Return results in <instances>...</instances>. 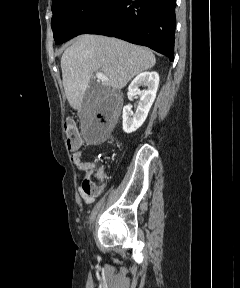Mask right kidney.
<instances>
[{
  "mask_svg": "<svg viewBox=\"0 0 240 288\" xmlns=\"http://www.w3.org/2000/svg\"><path fill=\"white\" fill-rule=\"evenodd\" d=\"M159 85V75L157 72H142L129 85V92L140 96L139 106L135 114L132 112V106L126 105L123 108V130L125 133L136 131L144 123L148 112L155 100ZM140 86H147L144 91L139 89Z\"/></svg>",
  "mask_w": 240,
  "mask_h": 288,
  "instance_id": "right-kidney-1",
  "label": "right kidney"
}]
</instances>
